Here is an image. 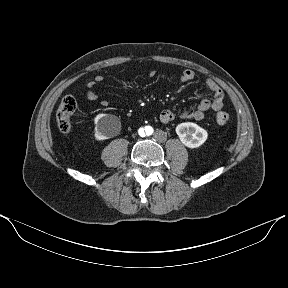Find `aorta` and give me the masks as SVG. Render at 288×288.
<instances>
[{
    "mask_svg": "<svg viewBox=\"0 0 288 288\" xmlns=\"http://www.w3.org/2000/svg\"><path fill=\"white\" fill-rule=\"evenodd\" d=\"M151 133H152V128L149 125L141 126L138 129V134L141 137H147V136L151 135Z\"/></svg>",
    "mask_w": 288,
    "mask_h": 288,
    "instance_id": "1",
    "label": "aorta"
}]
</instances>
